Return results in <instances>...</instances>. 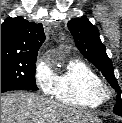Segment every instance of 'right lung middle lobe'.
Masks as SVG:
<instances>
[{"label":"right lung middle lobe","instance_id":"right-lung-middle-lobe-1","mask_svg":"<svg viewBox=\"0 0 122 123\" xmlns=\"http://www.w3.org/2000/svg\"><path fill=\"white\" fill-rule=\"evenodd\" d=\"M37 56L1 54V85L37 90L35 68Z\"/></svg>","mask_w":122,"mask_h":123}]
</instances>
